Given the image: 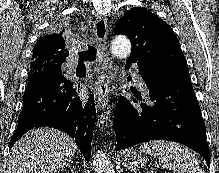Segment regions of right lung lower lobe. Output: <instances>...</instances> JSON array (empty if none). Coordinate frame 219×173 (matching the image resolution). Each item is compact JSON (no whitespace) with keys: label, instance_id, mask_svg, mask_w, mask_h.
Wrapping results in <instances>:
<instances>
[{"label":"right lung lower lobe","instance_id":"right-lung-lower-lobe-1","mask_svg":"<svg viewBox=\"0 0 219 173\" xmlns=\"http://www.w3.org/2000/svg\"><path fill=\"white\" fill-rule=\"evenodd\" d=\"M23 105L10 147L27 131L48 126L74 138L86 160H90L96 119L94 97L91 94L87 101H81L77 96V88L61 70L44 67L30 71Z\"/></svg>","mask_w":219,"mask_h":173}]
</instances>
